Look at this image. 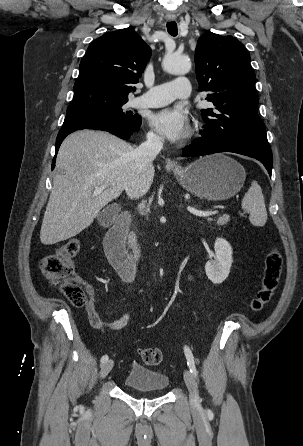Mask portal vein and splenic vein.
<instances>
[{
    "instance_id": "1",
    "label": "portal vein and splenic vein",
    "mask_w": 303,
    "mask_h": 446,
    "mask_svg": "<svg viewBox=\"0 0 303 446\" xmlns=\"http://www.w3.org/2000/svg\"><path fill=\"white\" fill-rule=\"evenodd\" d=\"M104 187H105V186H102V187H100V188H97V189L93 192V194H94V195H98V194H100V193L102 192V190L104 189ZM187 210H188L191 214L196 215V216H200V217H208V216H211V215L215 214V212H213V211H201V210H197V209H195V208H193V207H191V206H188V207H187Z\"/></svg>"
}]
</instances>
